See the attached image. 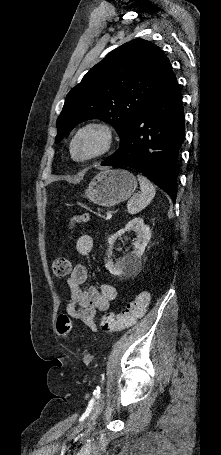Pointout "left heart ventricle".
Here are the masks:
<instances>
[{
	"mask_svg": "<svg viewBox=\"0 0 221 455\" xmlns=\"http://www.w3.org/2000/svg\"><path fill=\"white\" fill-rule=\"evenodd\" d=\"M101 144V139L94 133L83 135L76 144V155L84 157L94 153Z\"/></svg>",
	"mask_w": 221,
	"mask_h": 455,
	"instance_id": "1",
	"label": "left heart ventricle"
}]
</instances>
